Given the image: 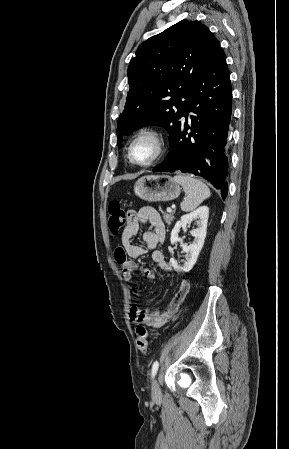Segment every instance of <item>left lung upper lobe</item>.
<instances>
[{
	"label": "left lung upper lobe",
	"instance_id": "left-lung-upper-lobe-1",
	"mask_svg": "<svg viewBox=\"0 0 289 449\" xmlns=\"http://www.w3.org/2000/svg\"><path fill=\"white\" fill-rule=\"evenodd\" d=\"M218 49V40L205 25L188 20L142 43L128 67L130 90L117 122V145L124 133L148 125L165 128L171 140L194 83Z\"/></svg>",
	"mask_w": 289,
	"mask_h": 449
}]
</instances>
